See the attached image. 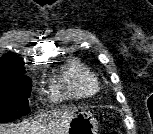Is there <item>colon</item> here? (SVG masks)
<instances>
[{
	"label": "colon",
	"instance_id": "obj_1",
	"mask_svg": "<svg viewBox=\"0 0 153 134\" xmlns=\"http://www.w3.org/2000/svg\"><path fill=\"white\" fill-rule=\"evenodd\" d=\"M103 134H119L117 131H110V132H106V133H103Z\"/></svg>",
	"mask_w": 153,
	"mask_h": 134
}]
</instances>
